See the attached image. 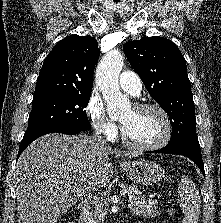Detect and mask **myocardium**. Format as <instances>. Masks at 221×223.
Wrapping results in <instances>:
<instances>
[{"label": "myocardium", "mask_w": 221, "mask_h": 223, "mask_svg": "<svg viewBox=\"0 0 221 223\" xmlns=\"http://www.w3.org/2000/svg\"><path fill=\"white\" fill-rule=\"evenodd\" d=\"M134 110H153L157 112L163 119L165 129L162 137L153 144H140L131 141L125 131L123 126H121V140L129 148L138 150V151H156L165 147L171 140L173 134V124L169 114L159 105L152 103H142L134 107Z\"/></svg>", "instance_id": "myocardium-1"}]
</instances>
